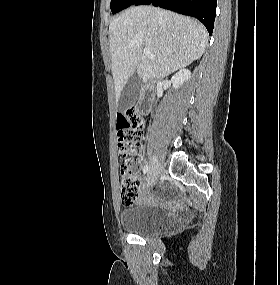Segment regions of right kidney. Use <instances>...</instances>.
I'll return each instance as SVG.
<instances>
[{
  "label": "right kidney",
  "instance_id": "obj_1",
  "mask_svg": "<svg viewBox=\"0 0 280 285\" xmlns=\"http://www.w3.org/2000/svg\"><path fill=\"white\" fill-rule=\"evenodd\" d=\"M191 77V72L187 69H181L171 79L174 89H178L185 81H188Z\"/></svg>",
  "mask_w": 280,
  "mask_h": 285
}]
</instances>
